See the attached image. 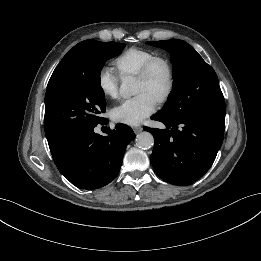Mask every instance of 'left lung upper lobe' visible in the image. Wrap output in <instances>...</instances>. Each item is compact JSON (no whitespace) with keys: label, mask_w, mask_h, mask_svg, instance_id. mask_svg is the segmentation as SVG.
<instances>
[{"label":"left lung upper lobe","mask_w":261,"mask_h":261,"mask_svg":"<svg viewBox=\"0 0 261 261\" xmlns=\"http://www.w3.org/2000/svg\"><path fill=\"white\" fill-rule=\"evenodd\" d=\"M171 54L173 91L158 114L180 119L209 111H225L223 94L213 68L182 40L149 41Z\"/></svg>","instance_id":"obj_1"}]
</instances>
